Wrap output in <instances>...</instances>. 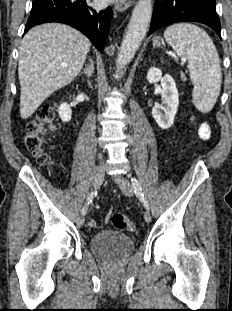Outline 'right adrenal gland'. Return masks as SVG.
Instances as JSON below:
<instances>
[{"label": "right adrenal gland", "mask_w": 232, "mask_h": 311, "mask_svg": "<svg viewBox=\"0 0 232 311\" xmlns=\"http://www.w3.org/2000/svg\"><path fill=\"white\" fill-rule=\"evenodd\" d=\"M93 72H94V63H93L92 60H90V63L88 65V67L86 69H84L83 71H81L79 75L84 74V75H86V77L88 79H90L92 74H93Z\"/></svg>", "instance_id": "right-adrenal-gland-1"}]
</instances>
